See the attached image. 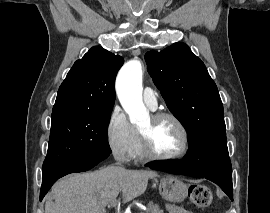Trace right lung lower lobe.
Returning a JSON list of instances; mask_svg holds the SVG:
<instances>
[{
    "label": "right lung lower lobe",
    "mask_w": 270,
    "mask_h": 213,
    "mask_svg": "<svg viewBox=\"0 0 270 213\" xmlns=\"http://www.w3.org/2000/svg\"><path fill=\"white\" fill-rule=\"evenodd\" d=\"M108 156L109 154H100L86 160L71 161L58 165H50L47 167H43L40 200H42V198L46 195L51 186L59 178L70 173L87 171L96 166L102 160L106 159Z\"/></svg>",
    "instance_id": "obj_1"
}]
</instances>
